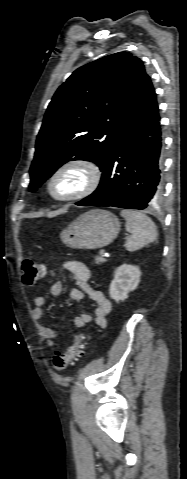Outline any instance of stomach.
Segmentation results:
<instances>
[{
  "label": "stomach",
  "instance_id": "stomach-1",
  "mask_svg": "<svg viewBox=\"0 0 187 479\" xmlns=\"http://www.w3.org/2000/svg\"><path fill=\"white\" fill-rule=\"evenodd\" d=\"M120 222L117 216L106 210H90L65 228L61 234L62 242L78 249H97L104 247L117 237Z\"/></svg>",
  "mask_w": 187,
  "mask_h": 479
}]
</instances>
